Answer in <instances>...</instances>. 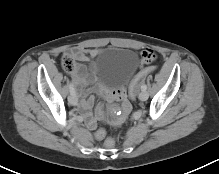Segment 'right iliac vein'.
I'll return each instance as SVG.
<instances>
[{"instance_id":"1","label":"right iliac vein","mask_w":219,"mask_h":174,"mask_svg":"<svg viewBox=\"0 0 219 174\" xmlns=\"http://www.w3.org/2000/svg\"><path fill=\"white\" fill-rule=\"evenodd\" d=\"M68 102H69L71 105H76L77 102H78L76 95L70 94L69 97H68Z\"/></svg>"}]
</instances>
